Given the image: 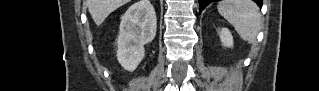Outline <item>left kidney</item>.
<instances>
[{
	"instance_id": "obj_1",
	"label": "left kidney",
	"mask_w": 319,
	"mask_h": 91,
	"mask_svg": "<svg viewBox=\"0 0 319 91\" xmlns=\"http://www.w3.org/2000/svg\"><path fill=\"white\" fill-rule=\"evenodd\" d=\"M219 36L224 47H233V36L228 28H222L220 30Z\"/></svg>"
}]
</instances>
